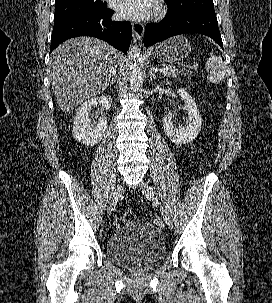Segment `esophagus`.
<instances>
[{
	"label": "esophagus",
	"mask_w": 272,
	"mask_h": 303,
	"mask_svg": "<svg viewBox=\"0 0 272 303\" xmlns=\"http://www.w3.org/2000/svg\"><path fill=\"white\" fill-rule=\"evenodd\" d=\"M133 36L135 41H141L144 35V25L139 22L132 23Z\"/></svg>",
	"instance_id": "obj_1"
}]
</instances>
